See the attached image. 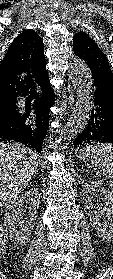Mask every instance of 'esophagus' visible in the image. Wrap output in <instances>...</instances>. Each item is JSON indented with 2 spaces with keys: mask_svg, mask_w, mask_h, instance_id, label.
<instances>
[{
  "mask_svg": "<svg viewBox=\"0 0 113 279\" xmlns=\"http://www.w3.org/2000/svg\"><path fill=\"white\" fill-rule=\"evenodd\" d=\"M68 92H69V97H68V104L70 105L71 109L73 108V104H74V94H73V90L70 89V87L68 88Z\"/></svg>",
  "mask_w": 113,
  "mask_h": 279,
  "instance_id": "obj_1",
  "label": "esophagus"
}]
</instances>
